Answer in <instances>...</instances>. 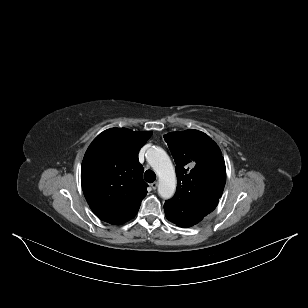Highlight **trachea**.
Returning a JSON list of instances; mask_svg holds the SVG:
<instances>
[{"mask_svg":"<svg viewBox=\"0 0 308 308\" xmlns=\"http://www.w3.org/2000/svg\"><path fill=\"white\" fill-rule=\"evenodd\" d=\"M144 179L148 182V183H152L155 181L156 179V174L152 171V170H147L144 174Z\"/></svg>","mask_w":308,"mask_h":308,"instance_id":"trachea-1","label":"trachea"}]
</instances>
